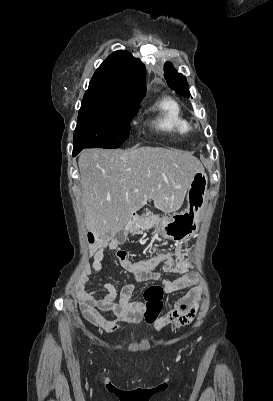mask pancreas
<instances>
[{
	"mask_svg": "<svg viewBox=\"0 0 273 401\" xmlns=\"http://www.w3.org/2000/svg\"><path fill=\"white\" fill-rule=\"evenodd\" d=\"M159 223L160 219L158 215L147 213V215H144V217L138 219V223H136V225H131V223H128L126 229H128V231H131L132 235H140L142 231L152 229V227H156V225H159Z\"/></svg>",
	"mask_w": 273,
	"mask_h": 401,
	"instance_id": "pancreas-1",
	"label": "pancreas"
}]
</instances>
